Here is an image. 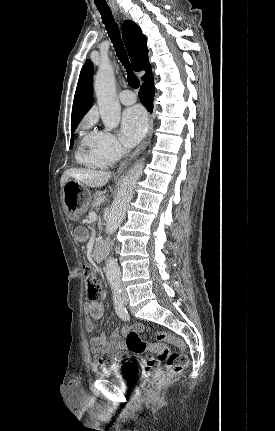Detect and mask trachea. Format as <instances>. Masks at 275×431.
I'll list each match as a JSON object with an SVG mask.
<instances>
[{"label":"trachea","instance_id":"obj_1","mask_svg":"<svg viewBox=\"0 0 275 431\" xmlns=\"http://www.w3.org/2000/svg\"><path fill=\"white\" fill-rule=\"evenodd\" d=\"M98 10L102 16L103 23L105 24V28L107 30L108 36L112 40L113 46L116 51V55L118 56V59L122 63V65L127 70V81L128 84L132 88H138L140 85L139 79L136 77L134 72L132 71L130 67V62L125 50V47L123 45V42L121 40L120 31L118 28V25L116 24L114 17L112 15V12L110 8H100L98 7Z\"/></svg>","mask_w":275,"mask_h":431}]
</instances>
